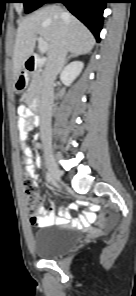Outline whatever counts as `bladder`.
Instances as JSON below:
<instances>
[{
    "instance_id": "31cf9c89",
    "label": "bladder",
    "mask_w": 136,
    "mask_h": 296,
    "mask_svg": "<svg viewBox=\"0 0 136 296\" xmlns=\"http://www.w3.org/2000/svg\"><path fill=\"white\" fill-rule=\"evenodd\" d=\"M31 242L37 256L44 259H55L74 248L79 242V237L71 228L47 226L36 230Z\"/></svg>"
}]
</instances>
